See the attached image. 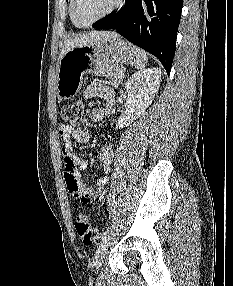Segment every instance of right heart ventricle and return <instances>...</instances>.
I'll return each mask as SVG.
<instances>
[{
	"mask_svg": "<svg viewBox=\"0 0 233 286\" xmlns=\"http://www.w3.org/2000/svg\"><path fill=\"white\" fill-rule=\"evenodd\" d=\"M68 13H69V17H70V20H71V22L73 23V25H74L75 27H81V26H79V25L74 21V19H73V17H72V0H69Z\"/></svg>",
	"mask_w": 233,
	"mask_h": 286,
	"instance_id": "1",
	"label": "right heart ventricle"
}]
</instances>
